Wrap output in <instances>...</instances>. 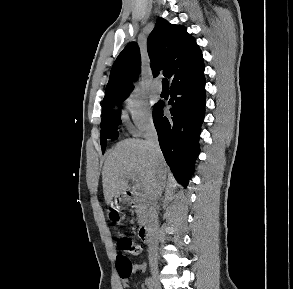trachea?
I'll use <instances>...</instances> for the list:
<instances>
[{"label":"trachea","mask_w":293,"mask_h":289,"mask_svg":"<svg viewBox=\"0 0 293 289\" xmlns=\"http://www.w3.org/2000/svg\"><path fill=\"white\" fill-rule=\"evenodd\" d=\"M162 86L168 88V80L166 78L162 80Z\"/></svg>","instance_id":"1"}]
</instances>
